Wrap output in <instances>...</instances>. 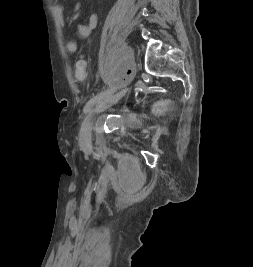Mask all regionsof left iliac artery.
Returning a JSON list of instances; mask_svg holds the SVG:
<instances>
[{
	"label": "left iliac artery",
	"instance_id": "obj_1",
	"mask_svg": "<svg viewBox=\"0 0 253 267\" xmlns=\"http://www.w3.org/2000/svg\"><path fill=\"white\" fill-rule=\"evenodd\" d=\"M114 91H115V87L112 88V89L105 90V91L101 92L100 94H98V95L94 96L93 98H91V99L87 102V104L85 105V107H84V109H83L84 113H85V114L89 113L90 110H91V108H92V106H93L94 104H96V103L101 102V100H102V98H103V96H104L105 94L112 93V92H114Z\"/></svg>",
	"mask_w": 253,
	"mask_h": 267
}]
</instances>
